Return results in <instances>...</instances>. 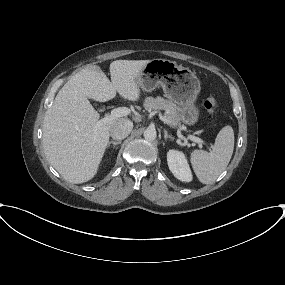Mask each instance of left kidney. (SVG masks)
<instances>
[{"instance_id":"obj_1","label":"left kidney","mask_w":285,"mask_h":285,"mask_svg":"<svg viewBox=\"0 0 285 285\" xmlns=\"http://www.w3.org/2000/svg\"><path fill=\"white\" fill-rule=\"evenodd\" d=\"M167 162L170 171L180 181H192V173L184 153L177 150H169Z\"/></svg>"}]
</instances>
